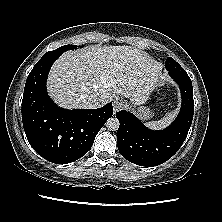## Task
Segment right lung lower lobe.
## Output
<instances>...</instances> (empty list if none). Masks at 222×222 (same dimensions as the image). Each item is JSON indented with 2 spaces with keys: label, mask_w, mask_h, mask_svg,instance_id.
Returning <instances> with one entry per match:
<instances>
[{
  "label": "right lung lower lobe",
  "mask_w": 222,
  "mask_h": 222,
  "mask_svg": "<svg viewBox=\"0 0 222 222\" xmlns=\"http://www.w3.org/2000/svg\"><path fill=\"white\" fill-rule=\"evenodd\" d=\"M59 54L44 55L26 80L22 99V121L31 147L44 159L70 163L92 147L105 122L112 117L111 103L98 109L67 110L48 96L46 81Z\"/></svg>",
  "instance_id": "right-lung-lower-lobe-1"
}]
</instances>
